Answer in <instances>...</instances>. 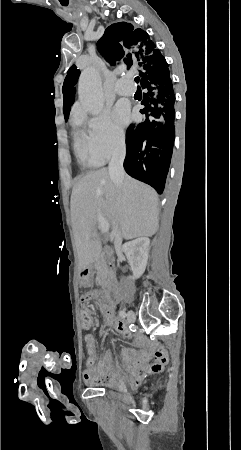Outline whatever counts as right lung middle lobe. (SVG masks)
I'll return each mask as SVG.
<instances>
[{"label":"right lung middle lobe","mask_w":241,"mask_h":450,"mask_svg":"<svg viewBox=\"0 0 241 450\" xmlns=\"http://www.w3.org/2000/svg\"><path fill=\"white\" fill-rule=\"evenodd\" d=\"M78 77H79V74L67 76L64 80V84L62 87V92L64 94L63 95V100H64L63 111H64L66 121L69 116L70 107L74 102V97H75L74 85L76 84Z\"/></svg>","instance_id":"obj_1"}]
</instances>
